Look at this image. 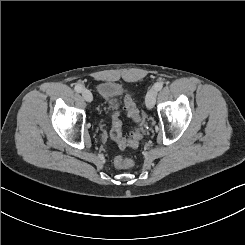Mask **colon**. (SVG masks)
I'll use <instances>...</instances> for the list:
<instances>
[{
    "mask_svg": "<svg viewBox=\"0 0 245 245\" xmlns=\"http://www.w3.org/2000/svg\"><path fill=\"white\" fill-rule=\"evenodd\" d=\"M124 110L132 121L136 123L140 121V112L138 106L135 103V101L130 97H126L124 100ZM110 134L111 137L117 142L120 148L135 147L138 144L140 138V133L138 130H135L131 134L130 138L123 137L121 133V123L116 117L113 120V125ZM114 163L115 166L120 169L130 168L133 165L132 160L123 156H117L114 160Z\"/></svg>",
    "mask_w": 245,
    "mask_h": 245,
    "instance_id": "5ec220e1",
    "label": "colon"
}]
</instances>
